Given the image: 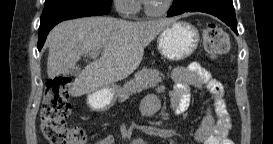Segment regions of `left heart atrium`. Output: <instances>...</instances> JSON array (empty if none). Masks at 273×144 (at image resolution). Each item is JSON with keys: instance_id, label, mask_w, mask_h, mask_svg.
I'll return each mask as SVG.
<instances>
[{"instance_id": "1", "label": "left heart atrium", "mask_w": 273, "mask_h": 144, "mask_svg": "<svg viewBox=\"0 0 273 144\" xmlns=\"http://www.w3.org/2000/svg\"><path fill=\"white\" fill-rule=\"evenodd\" d=\"M148 0H143L144 3H147Z\"/></svg>"}]
</instances>
